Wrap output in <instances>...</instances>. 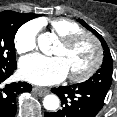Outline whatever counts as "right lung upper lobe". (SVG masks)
Masks as SVG:
<instances>
[{
	"mask_svg": "<svg viewBox=\"0 0 117 117\" xmlns=\"http://www.w3.org/2000/svg\"><path fill=\"white\" fill-rule=\"evenodd\" d=\"M27 16H28L29 20H31V19H33L35 17H38L39 14H31V13H28Z\"/></svg>",
	"mask_w": 117,
	"mask_h": 117,
	"instance_id": "1",
	"label": "right lung upper lobe"
}]
</instances>
